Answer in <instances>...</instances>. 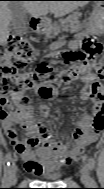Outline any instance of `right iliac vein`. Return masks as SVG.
I'll return each mask as SVG.
<instances>
[{
	"label": "right iliac vein",
	"mask_w": 104,
	"mask_h": 189,
	"mask_svg": "<svg viewBox=\"0 0 104 189\" xmlns=\"http://www.w3.org/2000/svg\"><path fill=\"white\" fill-rule=\"evenodd\" d=\"M8 182L13 183L16 180V166L13 164L8 171Z\"/></svg>",
	"instance_id": "right-iliac-vein-1"
}]
</instances>
